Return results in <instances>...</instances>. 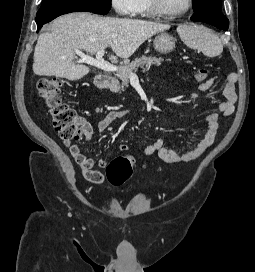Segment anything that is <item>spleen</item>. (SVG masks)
<instances>
[{"instance_id":"1","label":"spleen","mask_w":255,"mask_h":272,"mask_svg":"<svg viewBox=\"0 0 255 272\" xmlns=\"http://www.w3.org/2000/svg\"><path fill=\"white\" fill-rule=\"evenodd\" d=\"M177 32L189 48L201 50L206 56L215 57L223 51L218 35L205 26L193 23L180 25Z\"/></svg>"}]
</instances>
